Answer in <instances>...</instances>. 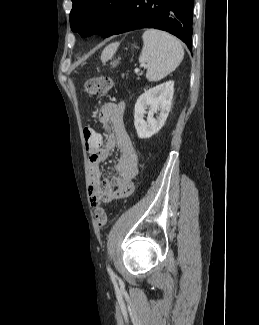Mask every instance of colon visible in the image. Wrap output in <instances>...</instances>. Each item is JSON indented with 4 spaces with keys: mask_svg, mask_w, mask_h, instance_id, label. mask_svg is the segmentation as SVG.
Returning <instances> with one entry per match:
<instances>
[{
    "mask_svg": "<svg viewBox=\"0 0 259 325\" xmlns=\"http://www.w3.org/2000/svg\"><path fill=\"white\" fill-rule=\"evenodd\" d=\"M113 87V81L106 76H98L90 78L86 81L84 89L90 96L101 95L108 93ZM84 138L87 149L101 148V135L98 130L91 128L84 129ZM94 222L97 227L102 228L107 222V215L103 208L96 210L94 214Z\"/></svg>",
    "mask_w": 259,
    "mask_h": 325,
    "instance_id": "5ec220e1",
    "label": "colon"
}]
</instances>
